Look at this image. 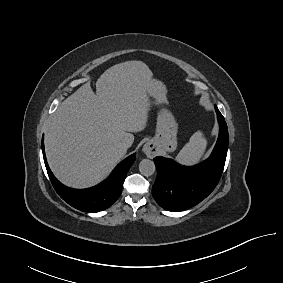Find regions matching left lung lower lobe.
I'll return each instance as SVG.
<instances>
[{"label":"left lung lower lobe","mask_w":283,"mask_h":283,"mask_svg":"<svg viewBox=\"0 0 283 283\" xmlns=\"http://www.w3.org/2000/svg\"><path fill=\"white\" fill-rule=\"evenodd\" d=\"M220 126L219 136L210 157L199 165L181 166L171 159L155 157L157 178L152 195L165 210L179 212L204 200L217 186L224 169L228 150V129L215 106Z\"/></svg>","instance_id":"left-lung-lower-lobe-1"}]
</instances>
